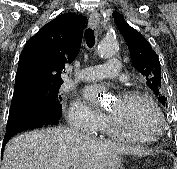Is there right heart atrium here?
<instances>
[{
  "label": "right heart atrium",
  "instance_id": "obj_1",
  "mask_svg": "<svg viewBox=\"0 0 177 169\" xmlns=\"http://www.w3.org/2000/svg\"><path fill=\"white\" fill-rule=\"evenodd\" d=\"M68 119L75 128L88 132L102 127L107 122L106 116L79 101L72 103Z\"/></svg>",
  "mask_w": 177,
  "mask_h": 169
}]
</instances>
